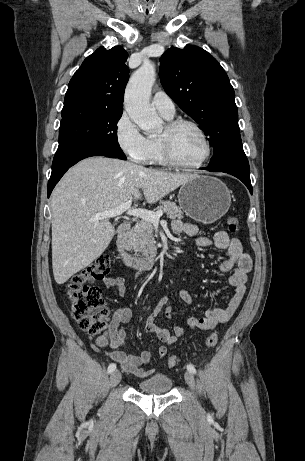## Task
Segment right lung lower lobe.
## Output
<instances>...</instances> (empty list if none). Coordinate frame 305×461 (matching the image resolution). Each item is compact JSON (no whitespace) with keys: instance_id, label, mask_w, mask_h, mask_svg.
I'll return each instance as SVG.
<instances>
[{"instance_id":"right-lung-lower-lobe-1","label":"right lung lower lobe","mask_w":305,"mask_h":461,"mask_svg":"<svg viewBox=\"0 0 305 461\" xmlns=\"http://www.w3.org/2000/svg\"><path fill=\"white\" fill-rule=\"evenodd\" d=\"M91 156L119 158L117 155L101 147H82L66 152L56 153L52 163V173L48 182V197L64 173L80 160ZM120 159V158H119Z\"/></svg>"}]
</instances>
